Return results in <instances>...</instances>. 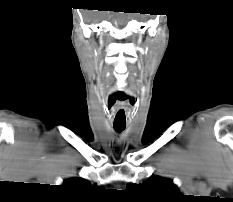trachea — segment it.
I'll list each match as a JSON object with an SVG mask.
<instances>
[{"label": "trachea", "instance_id": "trachea-1", "mask_svg": "<svg viewBox=\"0 0 233 202\" xmlns=\"http://www.w3.org/2000/svg\"><path fill=\"white\" fill-rule=\"evenodd\" d=\"M125 129V125H114V130L118 133L122 132Z\"/></svg>", "mask_w": 233, "mask_h": 202}]
</instances>
